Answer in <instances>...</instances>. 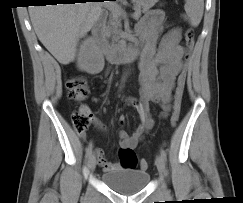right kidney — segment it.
Here are the masks:
<instances>
[{"label": "right kidney", "mask_w": 243, "mask_h": 203, "mask_svg": "<svg viewBox=\"0 0 243 203\" xmlns=\"http://www.w3.org/2000/svg\"><path fill=\"white\" fill-rule=\"evenodd\" d=\"M77 67L89 74H98L104 68V57L92 38L86 39L80 46Z\"/></svg>", "instance_id": "ca27d5eb"}]
</instances>
